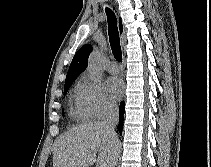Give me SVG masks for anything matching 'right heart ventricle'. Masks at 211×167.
<instances>
[{
	"label": "right heart ventricle",
	"instance_id": "e07e8e85",
	"mask_svg": "<svg viewBox=\"0 0 211 167\" xmlns=\"http://www.w3.org/2000/svg\"><path fill=\"white\" fill-rule=\"evenodd\" d=\"M70 115L77 120H86L89 118L86 113L79 92V84L76 85L74 93L71 97Z\"/></svg>",
	"mask_w": 211,
	"mask_h": 167
}]
</instances>
